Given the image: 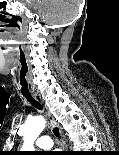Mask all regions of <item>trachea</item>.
<instances>
[{
    "label": "trachea",
    "mask_w": 119,
    "mask_h": 155,
    "mask_svg": "<svg viewBox=\"0 0 119 155\" xmlns=\"http://www.w3.org/2000/svg\"><path fill=\"white\" fill-rule=\"evenodd\" d=\"M21 90L22 96H24L32 104V106H34L37 109H42V105L31 95V90H28V87H21ZM53 133L56 137L60 138L58 128H54Z\"/></svg>",
    "instance_id": "3493384b"
}]
</instances>
